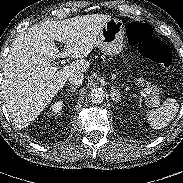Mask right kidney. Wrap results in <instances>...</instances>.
Wrapping results in <instances>:
<instances>
[{"instance_id":"1","label":"right kidney","mask_w":183,"mask_h":183,"mask_svg":"<svg viewBox=\"0 0 183 183\" xmlns=\"http://www.w3.org/2000/svg\"><path fill=\"white\" fill-rule=\"evenodd\" d=\"M63 107V102L61 100L55 102L54 104L51 105V108L52 109V113H59L61 111Z\"/></svg>"}]
</instances>
